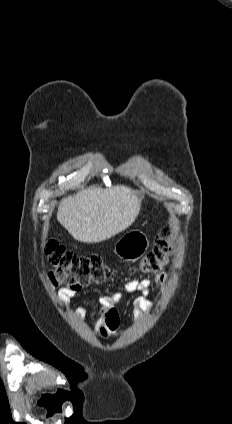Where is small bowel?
Masks as SVG:
<instances>
[{
	"mask_svg": "<svg viewBox=\"0 0 232 424\" xmlns=\"http://www.w3.org/2000/svg\"><path fill=\"white\" fill-rule=\"evenodd\" d=\"M168 276L164 273H159L155 276V282L160 287H164L167 283ZM126 290L129 292H139L140 296L135 298L133 302L134 313L136 315L149 314L153 311V305L149 301L148 296L151 293V280L140 279L131 280L126 285ZM80 291V289H72L63 287L59 290V300L63 305H67L70 300ZM122 298L121 293H112L102 295L100 297V307L97 311L95 330L101 338H107L115 335L119 329V315L115 308L116 304ZM85 305L76 310L77 317H83L86 313Z\"/></svg>",
	"mask_w": 232,
	"mask_h": 424,
	"instance_id": "small-bowel-1",
	"label": "small bowel"
}]
</instances>
